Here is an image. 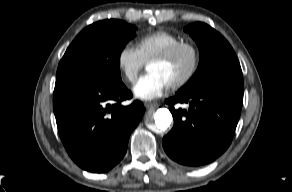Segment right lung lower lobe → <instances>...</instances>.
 Segmentation results:
<instances>
[{"instance_id":"1","label":"right lung lower lobe","mask_w":292,"mask_h":192,"mask_svg":"<svg viewBox=\"0 0 292 192\" xmlns=\"http://www.w3.org/2000/svg\"><path fill=\"white\" fill-rule=\"evenodd\" d=\"M124 84L112 86L84 75L56 77L53 109L58 132L72 160L84 170L103 173L124 157L131 132L145 109Z\"/></svg>"}]
</instances>
